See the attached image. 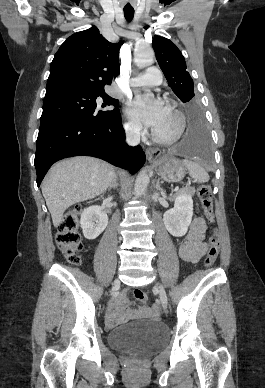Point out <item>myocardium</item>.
Returning a JSON list of instances; mask_svg holds the SVG:
<instances>
[{
	"instance_id": "myocardium-1",
	"label": "myocardium",
	"mask_w": 265,
	"mask_h": 388,
	"mask_svg": "<svg viewBox=\"0 0 265 388\" xmlns=\"http://www.w3.org/2000/svg\"><path fill=\"white\" fill-rule=\"evenodd\" d=\"M166 109L170 112L175 120L174 131L170 134H161L154 127L152 130V136L157 142L169 145L177 142L181 138L186 126V118L180 110L173 106L168 105Z\"/></svg>"
}]
</instances>
